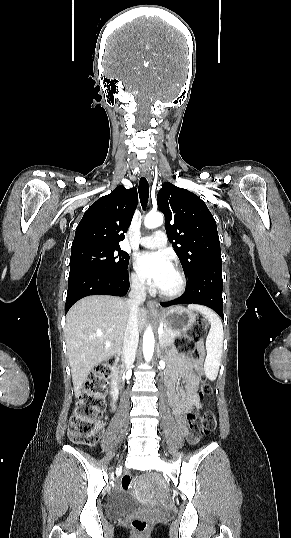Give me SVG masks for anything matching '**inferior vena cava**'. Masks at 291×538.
I'll return each mask as SVG.
<instances>
[{"mask_svg": "<svg viewBox=\"0 0 291 538\" xmlns=\"http://www.w3.org/2000/svg\"><path fill=\"white\" fill-rule=\"evenodd\" d=\"M146 299V287L143 280H133L131 291L129 293V317L126 325L124 343H123V359L126 367L131 368L135 361L136 350L139 342L138 332V310L140 305Z\"/></svg>", "mask_w": 291, "mask_h": 538, "instance_id": "inferior-vena-cava-1", "label": "inferior vena cava"}]
</instances>
